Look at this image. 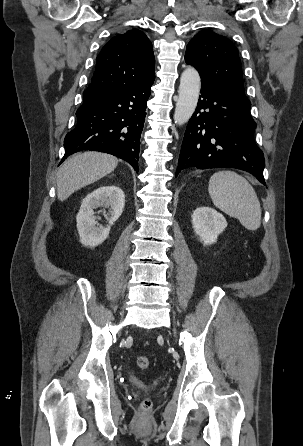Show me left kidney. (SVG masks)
Wrapping results in <instances>:
<instances>
[{
	"instance_id": "1",
	"label": "left kidney",
	"mask_w": 303,
	"mask_h": 446,
	"mask_svg": "<svg viewBox=\"0 0 303 446\" xmlns=\"http://www.w3.org/2000/svg\"><path fill=\"white\" fill-rule=\"evenodd\" d=\"M191 217L194 231L204 245L215 243L219 234L227 227L224 216L211 207H198Z\"/></svg>"
}]
</instances>
